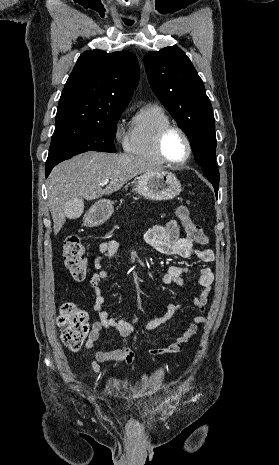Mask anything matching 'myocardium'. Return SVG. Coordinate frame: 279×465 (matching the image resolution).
<instances>
[{"label":"myocardium","instance_id":"1","mask_svg":"<svg viewBox=\"0 0 279 465\" xmlns=\"http://www.w3.org/2000/svg\"><path fill=\"white\" fill-rule=\"evenodd\" d=\"M171 131L179 132L182 135V137L184 138L185 142H186L187 154H186V157L181 161H172L165 155V152H164V140H165L167 134L169 132H171ZM156 150H157V153L159 154V156L161 157V159L166 164L171 165V166H182V165L186 164L190 160V158L192 156V153H193L192 143H191V140H190L188 134L186 133V131L182 127H180L178 125H175V124L166 125L159 131V133L157 135V138H156Z\"/></svg>","mask_w":279,"mask_h":465}]
</instances>
